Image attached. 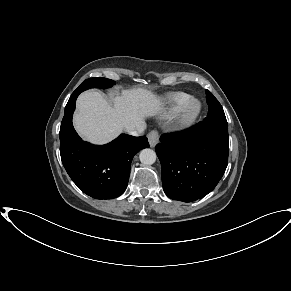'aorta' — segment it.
I'll use <instances>...</instances> for the list:
<instances>
[{
	"label": "aorta",
	"instance_id": "obj_1",
	"mask_svg": "<svg viewBox=\"0 0 291 291\" xmlns=\"http://www.w3.org/2000/svg\"><path fill=\"white\" fill-rule=\"evenodd\" d=\"M140 161L144 165H152L155 163L157 155L152 149H143L139 155Z\"/></svg>",
	"mask_w": 291,
	"mask_h": 291
}]
</instances>
